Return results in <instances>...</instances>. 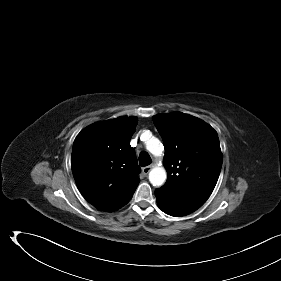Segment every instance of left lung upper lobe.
Here are the masks:
<instances>
[{
    "label": "left lung upper lobe",
    "mask_w": 281,
    "mask_h": 281,
    "mask_svg": "<svg viewBox=\"0 0 281 281\" xmlns=\"http://www.w3.org/2000/svg\"><path fill=\"white\" fill-rule=\"evenodd\" d=\"M165 146L168 178L164 188L207 200L222 167L217 132L203 120L181 112L153 116Z\"/></svg>",
    "instance_id": "1"
}]
</instances>
